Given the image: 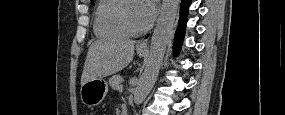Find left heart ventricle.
<instances>
[{
	"mask_svg": "<svg viewBox=\"0 0 285 115\" xmlns=\"http://www.w3.org/2000/svg\"><path fill=\"white\" fill-rule=\"evenodd\" d=\"M125 16L129 24L133 28H142L144 27L141 18H140V11H139V3L132 2L129 4L128 8L125 11Z\"/></svg>",
	"mask_w": 285,
	"mask_h": 115,
	"instance_id": "b2bd125f",
	"label": "left heart ventricle"
}]
</instances>
